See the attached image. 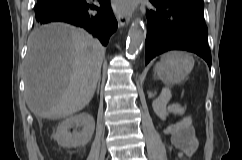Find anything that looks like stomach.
I'll return each mask as SVG.
<instances>
[{"mask_svg": "<svg viewBox=\"0 0 242 160\" xmlns=\"http://www.w3.org/2000/svg\"><path fill=\"white\" fill-rule=\"evenodd\" d=\"M162 68L157 72L160 79L166 82H181L191 71L194 60L189 53L170 52L161 58Z\"/></svg>", "mask_w": 242, "mask_h": 160, "instance_id": "1", "label": "stomach"}]
</instances>
